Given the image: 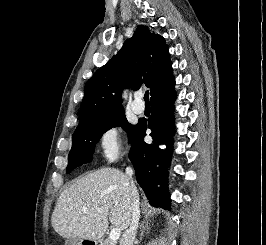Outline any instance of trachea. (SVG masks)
Here are the masks:
<instances>
[{"label": "trachea", "mask_w": 266, "mask_h": 245, "mask_svg": "<svg viewBox=\"0 0 266 245\" xmlns=\"http://www.w3.org/2000/svg\"><path fill=\"white\" fill-rule=\"evenodd\" d=\"M149 92H148V90L145 92V95H144V100H145V102L146 103H149Z\"/></svg>", "instance_id": "obj_1"}]
</instances>
